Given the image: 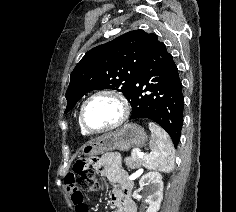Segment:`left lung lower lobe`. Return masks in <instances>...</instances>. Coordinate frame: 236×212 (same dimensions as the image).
<instances>
[{
    "label": "left lung lower lobe",
    "instance_id": "0a47b994",
    "mask_svg": "<svg viewBox=\"0 0 236 212\" xmlns=\"http://www.w3.org/2000/svg\"><path fill=\"white\" fill-rule=\"evenodd\" d=\"M127 100L132 106L130 119L148 118L156 122L177 146L183 124L182 83L172 55L156 34L149 39Z\"/></svg>",
    "mask_w": 236,
    "mask_h": 212
}]
</instances>
